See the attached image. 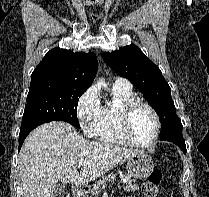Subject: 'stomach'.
<instances>
[{
  "mask_svg": "<svg viewBox=\"0 0 209 197\" xmlns=\"http://www.w3.org/2000/svg\"><path fill=\"white\" fill-rule=\"evenodd\" d=\"M126 169L129 176L137 179H146L154 170V163L148 154L144 151H139L127 159Z\"/></svg>",
  "mask_w": 209,
  "mask_h": 197,
  "instance_id": "obj_1",
  "label": "stomach"
}]
</instances>
